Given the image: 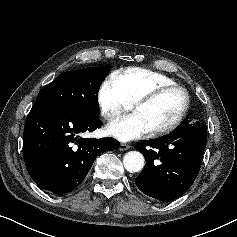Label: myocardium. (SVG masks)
Listing matches in <instances>:
<instances>
[{
    "label": "myocardium",
    "instance_id": "1",
    "mask_svg": "<svg viewBox=\"0 0 237 237\" xmlns=\"http://www.w3.org/2000/svg\"><path fill=\"white\" fill-rule=\"evenodd\" d=\"M171 90H179L182 92V94L184 96V104L182 106V109L180 110V112L178 113L176 118L170 124L150 131L149 135L152 137H159V136L168 134V133L172 132L173 130H175L180 125V123L184 119L185 115L187 114V111L190 106V95H189L187 89L179 84H169V85L158 86V87L154 88L152 91H150L147 94L138 98L133 103V107L151 103L154 100H156L158 97H160L162 94H164L168 91H171Z\"/></svg>",
    "mask_w": 237,
    "mask_h": 237
}]
</instances>
